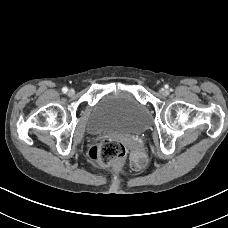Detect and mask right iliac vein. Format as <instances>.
Returning <instances> with one entry per match:
<instances>
[{
  "label": "right iliac vein",
  "mask_w": 228,
  "mask_h": 228,
  "mask_svg": "<svg viewBox=\"0 0 228 228\" xmlns=\"http://www.w3.org/2000/svg\"><path fill=\"white\" fill-rule=\"evenodd\" d=\"M74 93H75V91H74L73 89H70V90L68 91V95H69V96H73Z\"/></svg>",
  "instance_id": "right-iliac-vein-1"
}]
</instances>
